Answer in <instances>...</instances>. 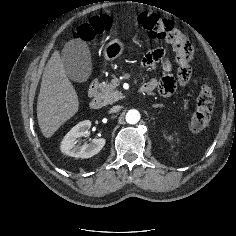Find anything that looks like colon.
Here are the masks:
<instances>
[{"label":"colon","mask_w":236,"mask_h":236,"mask_svg":"<svg viewBox=\"0 0 236 236\" xmlns=\"http://www.w3.org/2000/svg\"><path fill=\"white\" fill-rule=\"evenodd\" d=\"M138 23L147 31L152 40H165L171 43L175 50L180 51L187 44L185 37L174 27L173 23L156 14L142 13ZM115 22L107 16H94L82 22L75 31L74 37L90 42L96 37L111 31ZM188 77L182 78V83H187ZM214 107V96L210 86L204 84L199 90L196 110L190 121V128L198 133L209 126L211 112Z\"/></svg>","instance_id":"5ec220e1"}]
</instances>
